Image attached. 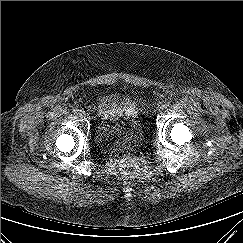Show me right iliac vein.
I'll return each mask as SVG.
<instances>
[{"label": "right iliac vein", "instance_id": "1", "mask_svg": "<svg viewBox=\"0 0 243 243\" xmlns=\"http://www.w3.org/2000/svg\"><path fill=\"white\" fill-rule=\"evenodd\" d=\"M78 115H79L80 117H84L86 114H85L84 111H79Z\"/></svg>", "mask_w": 243, "mask_h": 243}]
</instances>
